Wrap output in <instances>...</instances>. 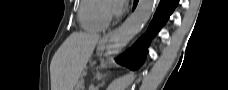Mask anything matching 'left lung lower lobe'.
<instances>
[{
	"label": "left lung lower lobe",
	"mask_w": 228,
	"mask_h": 90,
	"mask_svg": "<svg viewBox=\"0 0 228 90\" xmlns=\"http://www.w3.org/2000/svg\"><path fill=\"white\" fill-rule=\"evenodd\" d=\"M137 2L138 0H134L133 9L136 7ZM177 4L178 0H161L147 32L133 45L130 50L118 57L116 61L131 70L139 68L146 57L150 38H153L160 30L161 26L167 21Z\"/></svg>",
	"instance_id": "0a47b994"
}]
</instances>
